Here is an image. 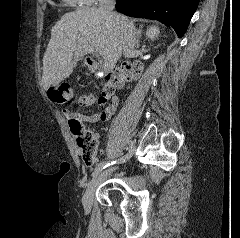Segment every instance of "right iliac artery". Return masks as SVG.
Segmentation results:
<instances>
[{"label":"right iliac artery","instance_id":"right-iliac-artery-1","mask_svg":"<svg viewBox=\"0 0 240 238\" xmlns=\"http://www.w3.org/2000/svg\"><path fill=\"white\" fill-rule=\"evenodd\" d=\"M127 144L129 143L130 145L128 146V151L125 153V156L122 157L120 159V161H126L129 157H131L134 154L135 151V144L132 140H130L129 142H126ZM116 161H109V162H102L100 164L97 165V167L95 168L94 172L92 173V177L93 179L96 178L99 174L100 171H102L103 169H105L106 167L115 164Z\"/></svg>","mask_w":240,"mask_h":238}]
</instances>
